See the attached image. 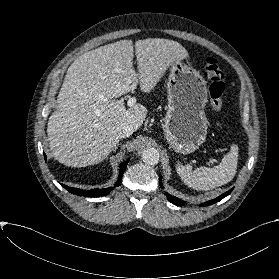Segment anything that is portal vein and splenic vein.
I'll list each match as a JSON object with an SVG mask.
<instances>
[{
	"instance_id": "1",
	"label": "portal vein and splenic vein",
	"mask_w": 279,
	"mask_h": 279,
	"mask_svg": "<svg viewBox=\"0 0 279 279\" xmlns=\"http://www.w3.org/2000/svg\"><path fill=\"white\" fill-rule=\"evenodd\" d=\"M136 103L135 98H129L127 101L128 106H133Z\"/></svg>"
}]
</instances>
